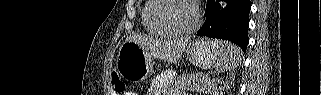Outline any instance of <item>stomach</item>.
Returning a JSON list of instances; mask_svg holds the SVG:
<instances>
[{"label": "stomach", "instance_id": "obj_1", "mask_svg": "<svg viewBox=\"0 0 321 95\" xmlns=\"http://www.w3.org/2000/svg\"><path fill=\"white\" fill-rule=\"evenodd\" d=\"M224 45L219 41L198 40L186 49L191 63L208 69L215 66ZM155 57L135 42H124L117 57V71L126 80L140 82L153 73Z\"/></svg>", "mask_w": 321, "mask_h": 95}]
</instances>
